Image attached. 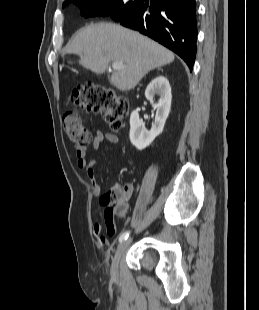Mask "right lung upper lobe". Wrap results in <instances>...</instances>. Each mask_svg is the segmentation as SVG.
<instances>
[{"label": "right lung upper lobe", "instance_id": "right-lung-upper-lobe-1", "mask_svg": "<svg viewBox=\"0 0 259 310\" xmlns=\"http://www.w3.org/2000/svg\"><path fill=\"white\" fill-rule=\"evenodd\" d=\"M69 1H74V0H66L64 3L69 2ZM82 1L93 2V1H97V0H82Z\"/></svg>", "mask_w": 259, "mask_h": 310}]
</instances>
